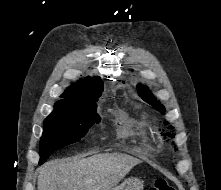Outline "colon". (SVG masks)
<instances>
[{
  "instance_id": "1",
  "label": "colon",
  "mask_w": 221,
  "mask_h": 190,
  "mask_svg": "<svg viewBox=\"0 0 221 190\" xmlns=\"http://www.w3.org/2000/svg\"><path fill=\"white\" fill-rule=\"evenodd\" d=\"M148 190H174L165 179H157Z\"/></svg>"
}]
</instances>
